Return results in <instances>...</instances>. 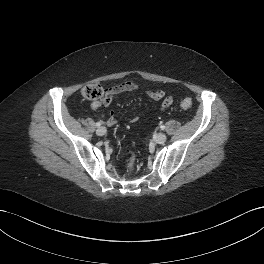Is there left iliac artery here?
<instances>
[{"mask_svg":"<svg viewBox=\"0 0 264 264\" xmlns=\"http://www.w3.org/2000/svg\"><path fill=\"white\" fill-rule=\"evenodd\" d=\"M160 128L163 130V129H165V126L164 125H161Z\"/></svg>","mask_w":264,"mask_h":264,"instance_id":"obj_1","label":"left iliac artery"}]
</instances>
